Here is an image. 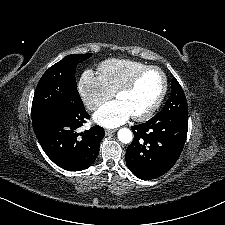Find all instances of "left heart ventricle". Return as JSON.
I'll use <instances>...</instances> for the list:
<instances>
[{
	"label": "left heart ventricle",
	"instance_id": "obj_1",
	"mask_svg": "<svg viewBox=\"0 0 225 225\" xmlns=\"http://www.w3.org/2000/svg\"><path fill=\"white\" fill-rule=\"evenodd\" d=\"M162 86L161 75L156 71L144 73L134 88L117 97L132 116L147 111L158 97Z\"/></svg>",
	"mask_w": 225,
	"mask_h": 225
}]
</instances>
